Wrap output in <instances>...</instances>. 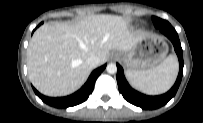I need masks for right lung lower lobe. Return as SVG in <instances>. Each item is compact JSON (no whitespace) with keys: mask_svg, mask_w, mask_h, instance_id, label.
I'll return each instance as SVG.
<instances>
[{"mask_svg":"<svg viewBox=\"0 0 203 123\" xmlns=\"http://www.w3.org/2000/svg\"><path fill=\"white\" fill-rule=\"evenodd\" d=\"M106 64L94 70L91 75L89 76L87 82L83 85V87L75 92L72 95L66 97H47L40 94L35 88H33L35 94L46 104L56 107V108H67L71 106L78 105L84 101H86L89 95L92 93L94 89V84L97 77L100 73L105 69Z\"/></svg>","mask_w":203,"mask_h":123,"instance_id":"right-lung-lower-lobe-1","label":"right lung lower lobe"}]
</instances>
